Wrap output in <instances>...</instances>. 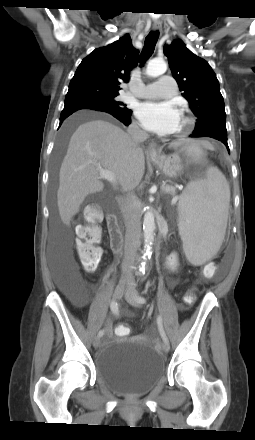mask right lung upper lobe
Instances as JSON below:
<instances>
[{"label":"right lung upper lobe","mask_w":255,"mask_h":440,"mask_svg":"<svg viewBox=\"0 0 255 440\" xmlns=\"http://www.w3.org/2000/svg\"><path fill=\"white\" fill-rule=\"evenodd\" d=\"M138 53L128 34L112 44L95 49L78 66L66 98L92 93L118 94L119 85L129 79V72L137 65Z\"/></svg>","instance_id":"cb5924a9"}]
</instances>
